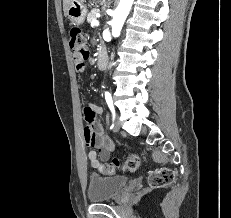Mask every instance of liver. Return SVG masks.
<instances>
[{"label": "liver", "mask_w": 231, "mask_h": 218, "mask_svg": "<svg viewBox=\"0 0 231 218\" xmlns=\"http://www.w3.org/2000/svg\"><path fill=\"white\" fill-rule=\"evenodd\" d=\"M71 2L72 0H63V11L65 16L67 15V10Z\"/></svg>", "instance_id": "1"}]
</instances>
